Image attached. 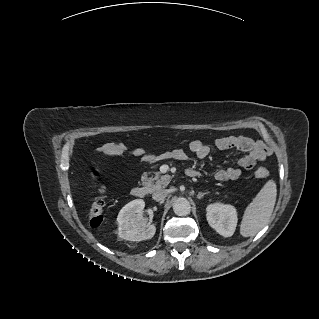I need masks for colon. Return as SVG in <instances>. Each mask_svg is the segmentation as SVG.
Wrapping results in <instances>:
<instances>
[{"label":"colon","mask_w":319,"mask_h":319,"mask_svg":"<svg viewBox=\"0 0 319 319\" xmlns=\"http://www.w3.org/2000/svg\"><path fill=\"white\" fill-rule=\"evenodd\" d=\"M96 176V173L93 174ZM269 175V171L264 167H259L255 170V176L258 178H266ZM104 207L105 203L102 199L94 201L88 211V221L90 226L98 227L102 224L104 219Z\"/></svg>","instance_id":"colon-1"}]
</instances>
